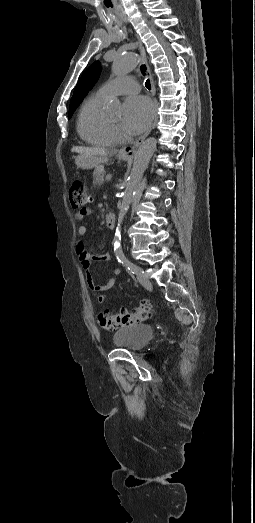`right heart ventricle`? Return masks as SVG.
<instances>
[{
    "label": "right heart ventricle",
    "instance_id": "right-heart-ventricle-1",
    "mask_svg": "<svg viewBox=\"0 0 255 523\" xmlns=\"http://www.w3.org/2000/svg\"><path fill=\"white\" fill-rule=\"evenodd\" d=\"M109 96L97 90L82 104L77 129L80 138L95 146H111L116 139L106 125V115L103 113Z\"/></svg>",
    "mask_w": 255,
    "mask_h": 523
}]
</instances>
